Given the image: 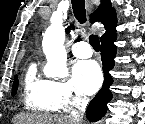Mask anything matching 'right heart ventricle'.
Returning <instances> with one entry per match:
<instances>
[{
    "mask_svg": "<svg viewBox=\"0 0 145 124\" xmlns=\"http://www.w3.org/2000/svg\"><path fill=\"white\" fill-rule=\"evenodd\" d=\"M23 103L27 109L34 111L49 113L58 110L51 99L49 81L38 78L33 64L24 76Z\"/></svg>",
    "mask_w": 145,
    "mask_h": 124,
    "instance_id": "right-heart-ventricle-1",
    "label": "right heart ventricle"
}]
</instances>
